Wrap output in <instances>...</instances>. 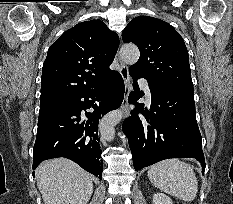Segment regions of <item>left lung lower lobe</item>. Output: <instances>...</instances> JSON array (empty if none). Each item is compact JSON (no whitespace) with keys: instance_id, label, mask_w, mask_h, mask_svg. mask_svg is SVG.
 I'll list each match as a JSON object with an SVG mask.
<instances>
[{"instance_id":"0a47b994","label":"left lung lower lobe","mask_w":233,"mask_h":204,"mask_svg":"<svg viewBox=\"0 0 233 204\" xmlns=\"http://www.w3.org/2000/svg\"><path fill=\"white\" fill-rule=\"evenodd\" d=\"M129 95V103L136 109L123 123L128 137L136 171L168 158H195L205 170L202 137L196 121L193 93L156 88L151 91L150 111L136 101L143 96L136 79ZM141 113L143 116L139 115Z\"/></svg>"}]
</instances>
